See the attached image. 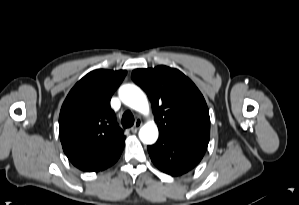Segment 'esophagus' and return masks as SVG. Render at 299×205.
Returning a JSON list of instances; mask_svg holds the SVG:
<instances>
[{
    "mask_svg": "<svg viewBox=\"0 0 299 205\" xmlns=\"http://www.w3.org/2000/svg\"><path fill=\"white\" fill-rule=\"evenodd\" d=\"M141 126H142V120L137 119L134 126L131 128V131L135 133Z\"/></svg>",
    "mask_w": 299,
    "mask_h": 205,
    "instance_id": "34e87169",
    "label": "esophagus"
}]
</instances>
